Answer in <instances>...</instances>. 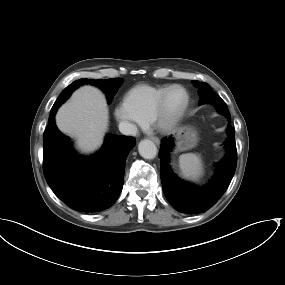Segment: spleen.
Returning <instances> with one entry per match:
<instances>
[{
	"instance_id": "obj_1",
	"label": "spleen",
	"mask_w": 285,
	"mask_h": 285,
	"mask_svg": "<svg viewBox=\"0 0 285 285\" xmlns=\"http://www.w3.org/2000/svg\"><path fill=\"white\" fill-rule=\"evenodd\" d=\"M179 167L187 179L198 180L203 175L202 158L197 153H186L179 156Z\"/></svg>"
}]
</instances>
